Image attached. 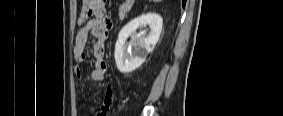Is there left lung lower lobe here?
I'll list each match as a JSON object with an SVG mask.
<instances>
[{
	"mask_svg": "<svg viewBox=\"0 0 283 116\" xmlns=\"http://www.w3.org/2000/svg\"><path fill=\"white\" fill-rule=\"evenodd\" d=\"M183 4L185 5L186 0H182Z\"/></svg>",
	"mask_w": 283,
	"mask_h": 116,
	"instance_id": "0a47b994",
	"label": "left lung lower lobe"
}]
</instances>
